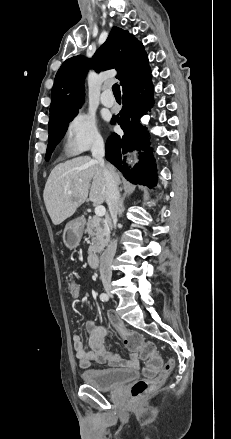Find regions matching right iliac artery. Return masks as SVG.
I'll list each match as a JSON object with an SVG mask.
<instances>
[{
  "label": "right iliac artery",
  "instance_id": "right-iliac-artery-1",
  "mask_svg": "<svg viewBox=\"0 0 231 439\" xmlns=\"http://www.w3.org/2000/svg\"><path fill=\"white\" fill-rule=\"evenodd\" d=\"M100 300L101 301H108L109 296L106 293H102V294H100Z\"/></svg>",
  "mask_w": 231,
  "mask_h": 439
}]
</instances>
